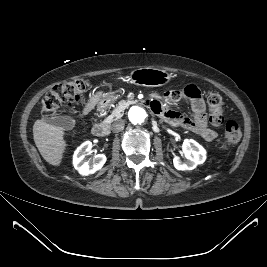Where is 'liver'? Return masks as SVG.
I'll return each mask as SVG.
<instances>
[{
    "label": "liver",
    "mask_w": 267,
    "mask_h": 267,
    "mask_svg": "<svg viewBox=\"0 0 267 267\" xmlns=\"http://www.w3.org/2000/svg\"><path fill=\"white\" fill-rule=\"evenodd\" d=\"M102 92L99 91L89 98L83 113L87 114L97 104ZM65 132L63 128L46 123L44 120H37L33 126L34 142L44 158L49 164L53 166L60 165L63 153L66 149V142L64 140Z\"/></svg>",
    "instance_id": "1"
}]
</instances>
